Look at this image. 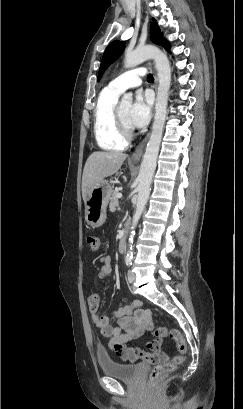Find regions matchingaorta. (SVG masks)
Returning <instances> with one entry per match:
<instances>
[{"mask_svg": "<svg viewBox=\"0 0 243 409\" xmlns=\"http://www.w3.org/2000/svg\"><path fill=\"white\" fill-rule=\"evenodd\" d=\"M153 59L157 69L158 89L155 104V115L152 132L147 143L145 153L140 165L138 199L132 220V229H135L141 214L146 206L150 194V185L156 169L157 156L160 149L164 125L167 116L168 94L171 84V67L167 55L155 46L137 47L133 51L125 53L124 66L126 68L135 67L142 62ZM133 97L131 94H124L121 98L123 105H131ZM134 231L131 232L129 241L132 243ZM127 257L132 256L131 248L127 252Z\"/></svg>", "mask_w": 243, "mask_h": 409, "instance_id": "1", "label": "aorta"}]
</instances>
